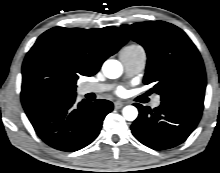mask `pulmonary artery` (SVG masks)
Segmentation results:
<instances>
[{"label":"pulmonary artery","mask_w":220,"mask_h":173,"mask_svg":"<svg viewBox=\"0 0 220 173\" xmlns=\"http://www.w3.org/2000/svg\"><path fill=\"white\" fill-rule=\"evenodd\" d=\"M120 60L124 66L125 73L128 77H132L137 75L143 71L146 64V54L145 52L140 49H131L127 48L122 50L120 53ZM112 86L108 84H97V83H89L85 86L86 92L92 93H102L109 89ZM160 104L159 97H156L153 102L152 106L157 107Z\"/></svg>","instance_id":"1"}]
</instances>
